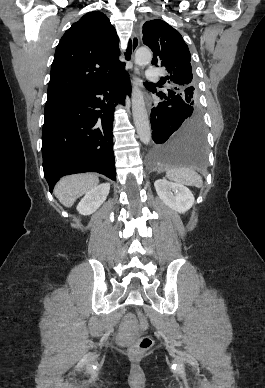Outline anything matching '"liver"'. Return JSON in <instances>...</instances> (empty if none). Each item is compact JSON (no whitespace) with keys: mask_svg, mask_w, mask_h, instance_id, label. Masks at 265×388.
Masks as SVG:
<instances>
[{"mask_svg":"<svg viewBox=\"0 0 265 388\" xmlns=\"http://www.w3.org/2000/svg\"><path fill=\"white\" fill-rule=\"evenodd\" d=\"M99 184V178L95 174H75V176H65L61 178L54 188V194L65 206L71 208L77 198L87 194Z\"/></svg>","mask_w":265,"mask_h":388,"instance_id":"obj_1","label":"liver"}]
</instances>
